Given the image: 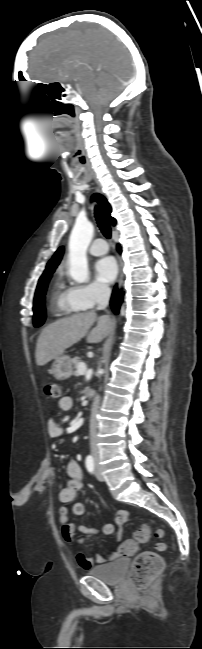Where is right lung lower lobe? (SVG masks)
Returning <instances> with one entry per match:
<instances>
[{
    "instance_id": "98d812e1",
    "label": "right lung lower lobe",
    "mask_w": 202,
    "mask_h": 649,
    "mask_svg": "<svg viewBox=\"0 0 202 649\" xmlns=\"http://www.w3.org/2000/svg\"><path fill=\"white\" fill-rule=\"evenodd\" d=\"M117 247H118V250L120 251L119 245ZM122 298H123V292H118L117 286H115V288L113 290V293H112V296H111L110 305H111V308H112L113 312H115L116 314L119 311L120 305L122 303Z\"/></svg>"
}]
</instances>
